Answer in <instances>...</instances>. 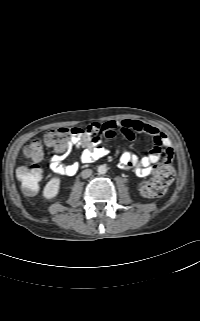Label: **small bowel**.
Masks as SVG:
<instances>
[{
    "label": "small bowel",
    "instance_id": "c3829d8e",
    "mask_svg": "<svg viewBox=\"0 0 200 321\" xmlns=\"http://www.w3.org/2000/svg\"><path fill=\"white\" fill-rule=\"evenodd\" d=\"M72 131L67 148L65 150L54 149L55 154L49 162V167L54 173L72 176L78 171V163H63L65 152L73 146L83 148L81 160L85 163L104 156L106 151L100 145L101 138L113 137L117 131H120L129 140H134L137 133L143 134L151 140L152 147L146 156L140 157L135 153L125 152L120 157L121 167L125 170H133L139 177H147L152 174L156 164L164 159L167 153L173 155L168 136L156 127L139 120L93 122L84 129L73 128Z\"/></svg>",
    "mask_w": 200,
    "mask_h": 321
}]
</instances>
